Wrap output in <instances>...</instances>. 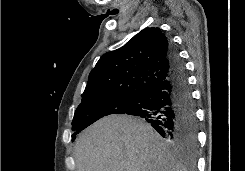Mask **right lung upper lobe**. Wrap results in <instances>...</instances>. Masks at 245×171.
Returning <instances> with one entry per match:
<instances>
[{
    "label": "right lung upper lobe",
    "mask_w": 245,
    "mask_h": 171,
    "mask_svg": "<svg viewBox=\"0 0 245 171\" xmlns=\"http://www.w3.org/2000/svg\"><path fill=\"white\" fill-rule=\"evenodd\" d=\"M171 42L159 28H146L123 47L105 53L89 74L82 101L141 96L170 75Z\"/></svg>",
    "instance_id": "cb5924a9"
}]
</instances>
